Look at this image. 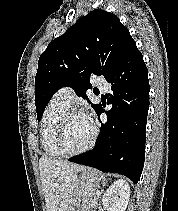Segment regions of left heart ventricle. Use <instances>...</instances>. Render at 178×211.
<instances>
[{
  "label": "left heart ventricle",
  "mask_w": 178,
  "mask_h": 211,
  "mask_svg": "<svg viewBox=\"0 0 178 211\" xmlns=\"http://www.w3.org/2000/svg\"><path fill=\"white\" fill-rule=\"evenodd\" d=\"M93 126L83 115H74L69 119L64 144L70 151L83 148L92 137Z\"/></svg>",
  "instance_id": "1"
}]
</instances>
